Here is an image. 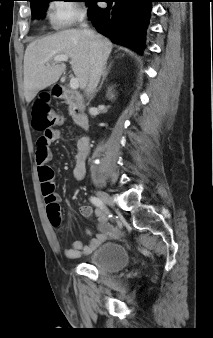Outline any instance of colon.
I'll list each match as a JSON object with an SVG mask.
<instances>
[{"mask_svg": "<svg viewBox=\"0 0 213 338\" xmlns=\"http://www.w3.org/2000/svg\"><path fill=\"white\" fill-rule=\"evenodd\" d=\"M33 127L37 130L44 132V135L51 136L52 128L61 123V118L55 114L46 98H39L33 104ZM41 190L46 203L50 202L53 198L54 191V174L51 169H40L39 175ZM50 221L53 225L60 222V216L57 209L51 212Z\"/></svg>", "mask_w": 213, "mask_h": 338, "instance_id": "obj_1", "label": "colon"}]
</instances>
